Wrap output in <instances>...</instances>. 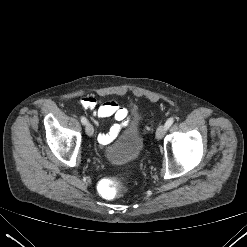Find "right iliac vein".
<instances>
[{
	"mask_svg": "<svg viewBox=\"0 0 247 247\" xmlns=\"http://www.w3.org/2000/svg\"><path fill=\"white\" fill-rule=\"evenodd\" d=\"M85 131H86L88 136H92L94 133V128L90 123H87L86 127H85Z\"/></svg>",
	"mask_w": 247,
	"mask_h": 247,
	"instance_id": "63e3f726",
	"label": "right iliac vein"
}]
</instances>
